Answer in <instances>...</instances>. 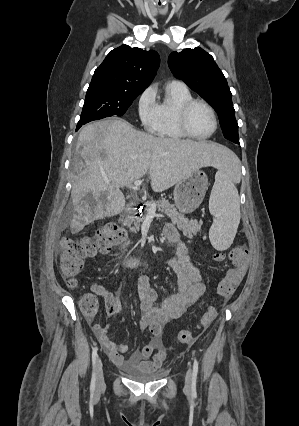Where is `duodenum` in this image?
I'll return each mask as SVG.
<instances>
[{
	"label": "duodenum",
	"instance_id": "1",
	"mask_svg": "<svg viewBox=\"0 0 299 426\" xmlns=\"http://www.w3.org/2000/svg\"><path fill=\"white\" fill-rule=\"evenodd\" d=\"M138 206L137 205H130L124 212L123 214V218L127 219L130 218L131 216L134 215V213L136 212ZM140 264V259L138 258H133V259H129L127 261V265L129 267H135L138 266Z\"/></svg>",
	"mask_w": 299,
	"mask_h": 426
}]
</instances>
